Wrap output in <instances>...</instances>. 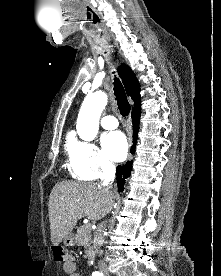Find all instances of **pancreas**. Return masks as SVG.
<instances>
[{"label":"pancreas","instance_id":"1","mask_svg":"<svg viewBox=\"0 0 221 276\" xmlns=\"http://www.w3.org/2000/svg\"><path fill=\"white\" fill-rule=\"evenodd\" d=\"M76 243L86 249H91V227L90 225H82L77 229Z\"/></svg>","mask_w":221,"mask_h":276}]
</instances>
